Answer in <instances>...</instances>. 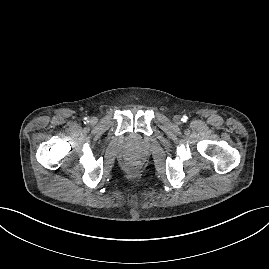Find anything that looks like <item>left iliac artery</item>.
I'll list each match as a JSON object with an SVG mask.
<instances>
[{
  "label": "left iliac artery",
  "instance_id": "obj_1",
  "mask_svg": "<svg viewBox=\"0 0 269 269\" xmlns=\"http://www.w3.org/2000/svg\"><path fill=\"white\" fill-rule=\"evenodd\" d=\"M183 122H186L188 120V117L187 116H183L182 119H181Z\"/></svg>",
  "mask_w": 269,
  "mask_h": 269
}]
</instances>
